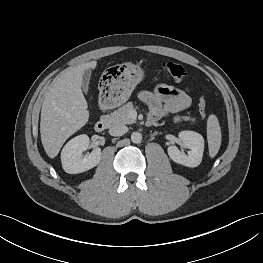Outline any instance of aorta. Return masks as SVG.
Returning a JSON list of instances; mask_svg holds the SVG:
<instances>
[{"mask_svg": "<svg viewBox=\"0 0 263 263\" xmlns=\"http://www.w3.org/2000/svg\"><path fill=\"white\" fill-rule=\"evenodd\" d=\"M131 141H132L133 143H136V144L140 143V142L142 141V135H141V133H139V132H133V133L131 134Z\"/></svg>", "mask_w": 263, "mask_h": 263, "instance_id": "1", "label": "aorta"}]
</instances>
